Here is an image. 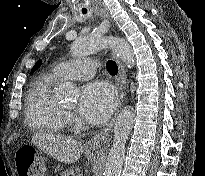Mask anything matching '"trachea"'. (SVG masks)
<instances>
[{
	"mask_svg": "<svg viewBox=\"0 0 205 176\" xmlns=\"http://www.w3.org/2000/svg\"><path fill=\"white\" fill-rule=\"evenodd\" d=\"M82 13L86 14L87 10H82ZM107 69L113 75H116L118 72V67H117L116 63L112 60L107 62Z\"/></svg>",
	"mask_w": 205,
	"mask_h": 176,
	"instance_id": "1",
	"label": "trachea"
}]
</instances>
